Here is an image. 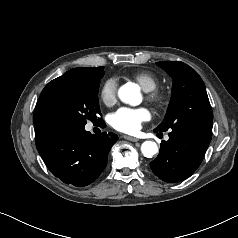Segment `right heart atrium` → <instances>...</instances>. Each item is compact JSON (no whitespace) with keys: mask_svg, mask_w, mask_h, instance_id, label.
I'll return each instance as SVG.
<instances>
[{"mask_svg":"<svg viewBox=\"0 0 238 238\" xmlns=\"http://www.w3.org/2000/svg\"><path fill=\"white\" fill-rule=\"evenodd\" d=\"M99 98L107 106H111L116 102L117 81L115 78H108L101 84Z\"/></svg>","mask_w":238,"mask_h":238,"instance_id":"right-heart-atrium-1","label":"right heart atrium"}]
</instances>
